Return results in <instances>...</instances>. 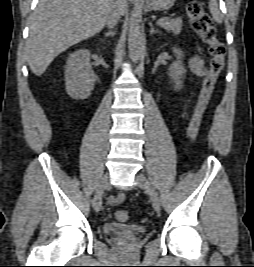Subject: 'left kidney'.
Segmentation results:
<instances>
[{
    "mask_svg": "<svg viewBox=\"0 0 254 267\" xmlns=\"http://www.w3.org/2000/svg\"><path fill=\"white\" fill-rule=\"evenodd\" d=\"M173 53L175 54L177 60L172 63V65L168 69V75L175 83V89L179 88L182 84L181 79L183 75L186 73V69L182 63L183 52L181 49L174 47Z\"/></svg>",
    "mask_w": 254,
    "mask_h": 267,
    "instance_id": "obj_1",
    "label": "left kidney"
}]
</instances>
